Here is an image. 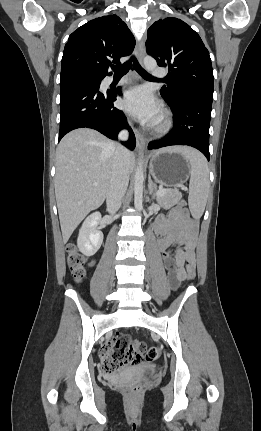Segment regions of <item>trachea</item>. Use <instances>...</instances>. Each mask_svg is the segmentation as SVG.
Returning a JSON list of instances; mask_svg holds the SVG:
<instances>
[{
  "mask_svg": "<svg viewBox=\"0 0 261 431\" xmlns=\"http://www.w3.org/2000/svg\"><path fill=\"white\" fill-rule=\"evenodd\" d=\"M131 62H133V66L136 69V71L143 77L146 79H156L154 78L152 75H150L149 73H147L138 63L137 59L135 57H132L130 59V61L125 62L124 64L120 65V66H113L112 69L115 72L114 75L115 76H123L125 75L129 69L131 68Z\"/></svg>",
  "mask_w": 261,
  "mask_h": 431,
  "instance_id": "3493384b",
  "label": "trachea"
}]
</instances>
